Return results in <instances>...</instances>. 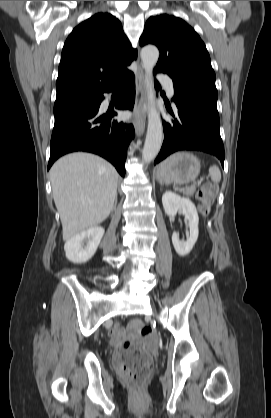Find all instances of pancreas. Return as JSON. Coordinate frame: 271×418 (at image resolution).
I'll list each match as a JSON object with an SVG mask.
<instances>
[{
    "label": "pancreas",
    "mask_w": 271,
    "mask_h": 418,
    "mask_svg": "<svg viewBox=\"0 0 271 418\" xmlns=\"http://www.w3.org/2000/svg\"><path fill=\"white\" fill-rule=\"evenodd\" d=\"M196 190V186L192 185L186 189L181 190V192L187 196H193L194 192Z\"/></svg>",
    "instance_id": "cf45deb5"
}]
</instances>
